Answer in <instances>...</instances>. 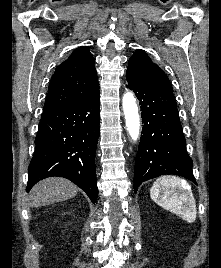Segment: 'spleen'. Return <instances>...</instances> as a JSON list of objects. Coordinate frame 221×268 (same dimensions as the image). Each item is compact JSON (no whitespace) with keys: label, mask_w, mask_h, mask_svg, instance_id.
<instances>
[{"label":"spleen","mask_w":221,"mask_h":268,"mask_svg":"<svg viewBox=\"0 0 221 268\" xmlns=\"http://www.w3.org/2000/svg\"><path fill=\"white\" fill-rule=\"evenodd\" d=\"M150 196L162 208L192 223L196 219V202L189 183L176 176L158 178Z\"/></svg>","instance_id":"3e777b00"}]
</instances>
